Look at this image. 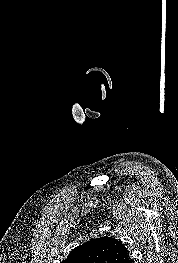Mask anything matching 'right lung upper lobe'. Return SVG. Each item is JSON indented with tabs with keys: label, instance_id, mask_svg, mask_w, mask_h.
Wrapping results in <instances>:
<instances>
[{
	"label": "right lung upper lobe",
	"instance_id": "obj_1",
	"mask_svg": "<svg viewBox=\"0 0 178 263\" xmlns=\"http://www.w3.org/2000/svg\"><path fill=\"white\" fill-rule=\"evenodd\" d=\"M62 263H134V261L120 241L106 236L77 246Z\"/></svg>",
	"mask_w": 178,
	"mask_h": 263
}]
</instances>
